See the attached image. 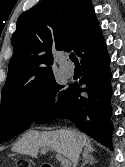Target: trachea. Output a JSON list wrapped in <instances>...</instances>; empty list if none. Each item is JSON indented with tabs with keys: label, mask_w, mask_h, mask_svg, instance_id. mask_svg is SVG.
<instances>
[{
	"label": "trachea",
	"mask_w": 125,
	"mask_h": 167,
	"mask_svg": "<svg viewBox=\"0 0 125 167\" xmlns=\"http://www.w3.org/2000/svg\"><path fill=\"white\" fill-rule=\"evenodd\" d=\"M69 58L74 62L75 65H79V61L74 53H71Z\"/></svg>",
	"instance_id": "3493384b"
}]
</instances>
